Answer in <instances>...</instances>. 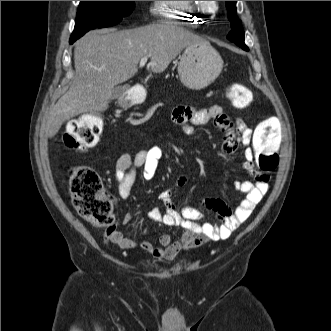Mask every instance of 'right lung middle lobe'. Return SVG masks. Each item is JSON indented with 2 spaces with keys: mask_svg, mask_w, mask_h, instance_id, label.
Returning <instances> with one entry per match:
<instances>
[{
  "mask_svg": "<svg viewBox=\"0 0 331 331\" xmlns=\"http://www.w3.org/2000/svg\"><path fill=\"white\" fill-rule=\"evenodd\" d=\"M135 1H80L70 43L94 28L116 25L132 13Z\"/></svg>",
  "mask_w": 331,
  "mask_h": 331,
  "instance_id": "obj_1",
  "label": "right lung middle lobe"
}]
</instances>
